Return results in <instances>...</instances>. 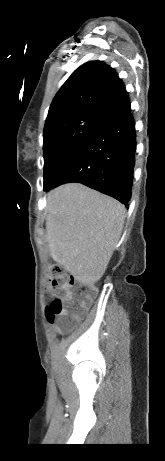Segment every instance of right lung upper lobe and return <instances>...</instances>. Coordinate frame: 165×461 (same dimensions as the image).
<instances>
[{
  "mask_svg": "<svg viewBox=\"0 0 165 461\" xmlns=\"http://www.w3.org/2000/svg\"><path fill=\"white\" fill-rule=\"evenodd\" d=\"M129 106L128 93L116 71L102 61H91L78 67L57 92L45 126L81 115L105 120Z\"/></svg>",
  "mask_w": 165,
  "mask_h": 461,
  "instance_id": "obj_1",
  "label": "right lung upper lobe"
}]
</instances>
